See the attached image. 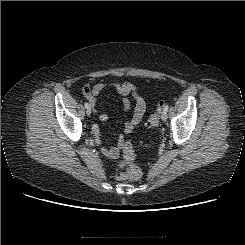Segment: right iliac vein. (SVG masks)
<instances>
[{
	"label": "right iliac vein",
	"mask_w": 245,
	"mask_h": 245,
	"mask_svg": "<svg viewBox=\"0 0 245 245\" xmlns=\"http://www.w3.org/2000/svg\"><path fill=\"white\" fill-rule=\"evenodd\" d=\"M86 114L89 116L91 115V108L86 109Z\"/></svg>",
	"instance_id": "1"
}]
</instances>
